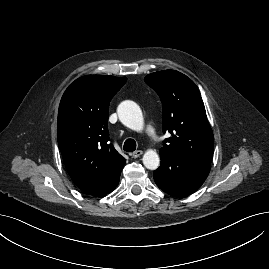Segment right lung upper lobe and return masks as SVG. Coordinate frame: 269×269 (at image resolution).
Returning a JSON list of instances; mask_svg holds the SVG:
<instances>
[{
  "instance_id": "1",
  "label": "right lung upper lobe",
  "mask_w": 269,
  "mask_h": 269,
  "mask_svg": "<svg viewBox=\"0 0 269 269\" xmlns=\"http://www.w3.org/2000/svg\"><path fill=\"white\" fill-rule=\"evenodd\" d=\"M127 78L87 75L64 92L58 112L57 138L66 169L84 192L94 194L121 173L125 164L109 142L108 108Z\"/></svg>"
}]
</instances>
